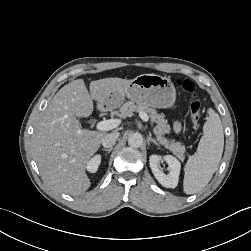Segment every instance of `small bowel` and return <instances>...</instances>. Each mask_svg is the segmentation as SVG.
<instances>
[{
    "instance_id": "c3829d8e",
    "label": "small bowel",
    "mask_w": 251,
    "mask_h": 251,
    "mask_svg": "<svg viewBox=\"0 0 251 251\" xmlns=\"http://www.w3.org/2000/svg\"><path fill=\"white\" fill-rule=\"evenodd\" d=\"M175 130H176V131H179V130H180V124H179V123H176V124H175Z\"/></svg>"
}]
</instances>
